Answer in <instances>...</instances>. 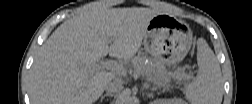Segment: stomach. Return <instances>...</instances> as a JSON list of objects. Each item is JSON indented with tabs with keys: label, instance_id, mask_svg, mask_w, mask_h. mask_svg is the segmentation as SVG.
Instances as JSON below:
<instances>
[{
	"label": "stomach",
	"instance_id": "0dacf381",
	"mask_svg": "<svg viewBox=\"0 0 252 104\" xmlns=\"http://www.w3.org/2000/svg\"><path fill=\"white\" fill-rule=\"evenodd\" d=\"M192 31L176 17L161 13L149 22L144 36V49L165 65L182 61L192 45Z\"/></svg>",
	"mask_w": 252,
	"mask_h": 104
}]
</instances>
